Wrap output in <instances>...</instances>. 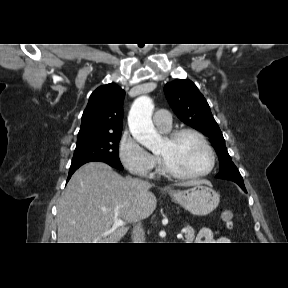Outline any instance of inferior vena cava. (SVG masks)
I'll list each match as a JSON object with an SVG mask.
<instances>
[{
  "label": "inferior vena cava",
  "mask_w": 288,
  "mask_h": 288,
  "mask_svg": "<svg viewBox=\"0 0 288 288\" xmlns=\"http://www.w3.org/2000/svg\"><path fill=\"white\" fill-rule=\"evenodd\" d=\"M132 240L133 243H144L145 241V233L140 222L133 229Z\"/></svg>",
  "instance_id": "obj_1"
}]
</instances>
